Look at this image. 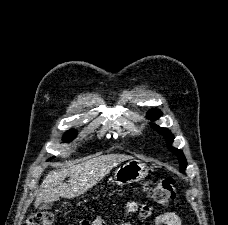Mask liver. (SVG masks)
Returning a JSON list of instances; mask_svg holds the SVG:
<instances>
[{
  "mask_svg": "<svg viewBox=\"0 0 228 225\" xmlns=\"http://www.w3.org/2000/svg\"><path fill=\"white\" fill-rule=\"evenodd\" d=\"M130 159L131 157H126V155H101V157L89 159L78 165H69L63 171H50L41 183L34 207L37 209L40 203H53L60 197H64V199L79 197L104 179L114 167L124 161H130ZM66 177H70V179L64 183Z\"/></svg>",
  "mask_w": 228,
  "mask_h": 225,
  "instance_id": "6515ba94",
  "label": "liver"
}]
</instances>
